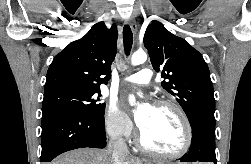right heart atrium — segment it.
<instances>
[{
    "label": "right heart atrium",
    "instance_id": "1",
    "mask_svg": "<svg viewBox=\"0 0 251 164\" xmlns=\"http://www.w3.org/2000/svg\"><path fill=\"white\" fill-rule=\"evenodd\" d=\"M104 122L108 134L114 138L127 139L133 132L129 116L115 104L109 105Z\"/></svg>",
    "mask_w": 251,
    "mask_h": 164
}]
</instances>
